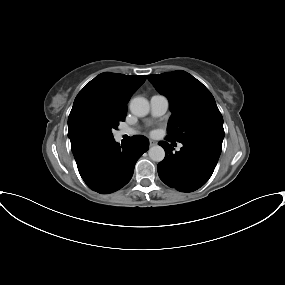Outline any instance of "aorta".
<instances>
[{"mask_svg":"<svg viewBox=\"0 0 285 285\" xmlns=\"http://www.w3.org/2000/svg\"><path fill=\"white\" fill-rule=\"evenodd\" d=\"M149 110V102L144 97H136L130 101V111L138 117L146 116ZM148 155L152 161L161 162L165 157V151L161 146L156 145L149 149Z\"/></svg>","mask_w":285,"mask_h":285,"instance_id":"1","label":"aorta"}]
</instances>
